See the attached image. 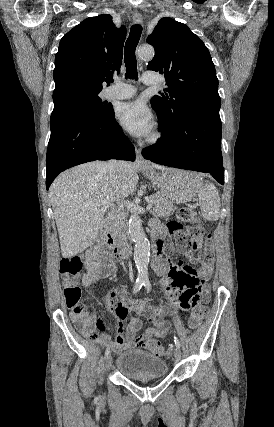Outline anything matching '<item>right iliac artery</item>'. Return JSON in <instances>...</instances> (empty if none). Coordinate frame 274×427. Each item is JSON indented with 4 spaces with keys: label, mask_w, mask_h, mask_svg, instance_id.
<instances>
[{
    "label": "right iliac artery",
    "mask_w": 274,
    "mask_h": 427,
    "mask_svg": "<svg viewBox=\"0 0 274 427\" xmlns=\"http://www.w3.org/2000/svg\"><path fill=\"white\" fill-rule=\"evenodd\" d=\"M144 285V282L143 281H141V280H136V283H135V285H134V288H133V294H136L140 289H141V287ZM109 353H110V349L109 348H107L106 349V352H105V359L109 356Z\"/></svg>",
    "instance_id": "right-iliac-artery-1"
}]
</instances>
